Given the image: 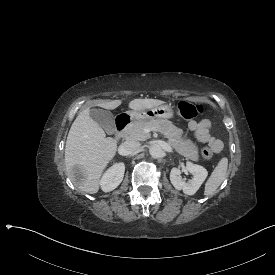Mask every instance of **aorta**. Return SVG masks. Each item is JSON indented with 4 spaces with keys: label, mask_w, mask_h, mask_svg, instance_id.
Instances as JSON below:
<instances>
[{
    "label": "aorta",
    "mask_w": 275,
    "mask_h": 275,
    "mask_svg": "<svg viewBox=\"0 0 275 275\" xmlns=\"http://www.w3.org/2000/svg\"><path fill=\"white\" fill-rule=\"evenodd\" d=\"M162 148L159 144H153L150 148H149V153L153 158H160L162 157Z\"/></svg>",
    "instance_id": "obj_1"
}]
</instances>
